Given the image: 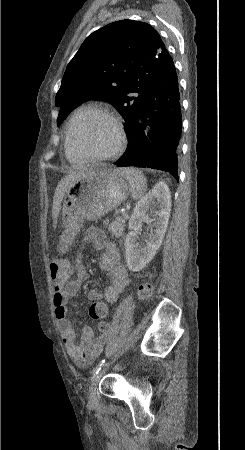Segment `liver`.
<instances>
[{"mask_svg":"<svg viewBox=\"0 0 245 450\" xmlns=\"http://www.w3.org/2000/svg\"><path fill=\"white\" fill-rule=\"evenodd\" d=\"M91 171L92 170L72 173V174L64 177L58 183V185L55 189V194L53 197V205H52V218H53V227L54 228L57 223V218H58V215H59V212L61 209V203H62L63 197L65 196V193L67 192L68 188L70 187V185L72 184L73 181H75L76 179H78L82 176L87 175Z\"/></svg>","mask_w":245,"mask_h":450,"instance_id":"obj_1","label":"liver"}]
</instances>
